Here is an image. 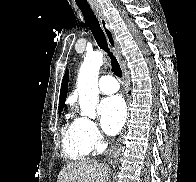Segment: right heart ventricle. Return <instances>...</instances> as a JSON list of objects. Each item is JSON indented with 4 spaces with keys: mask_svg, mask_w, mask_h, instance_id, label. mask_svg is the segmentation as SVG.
<instances>
[{
    "mask_svg": "<svg viewBox=\"0 0 196 182\" xmlns=\"http://www.w3.org/2000/svg\"><path fill=\"white\" fill-rule=\"evenodd\" d=\"M63 149L68 158L74 161L84 160L90 153L82 136L80 119L66 122L62 132Z\"/></svg>",
    "mask_w": 196,
    "mask_h": 182,
    "instance_id": "right-heart-ventricle-1",
    "label": "right heart ventricle"
}]
</instances>
